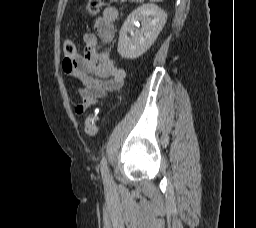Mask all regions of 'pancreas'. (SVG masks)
Listing matches in <instances>:
<instances>
[{
	"mask_svg": "<svg viewBox=\"0 0 256 228\" xmlns=\"http://www.w3.org/2000/svg\"><path fill=\"white\" fill-rule=\"evenodd\" d=\"M144 0H129V2H137V3H142Z\"/></svg>",
	"mask_w": 256,
	"mask_h": 228,
	"instance_id": "obj_1",
	"label": "pancreas"
}]
</instances>
